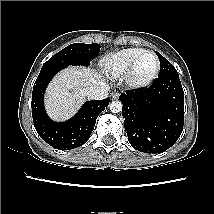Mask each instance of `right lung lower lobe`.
<instances>
[{"mask_svg":"<svg viewBox=\"0 0 214 214\" xmlns=\"http://www.w3.org/2000/svg\"><path fill=\"white\" fill-rule=\"evenodd\" d=\"M63 68H47L40 71L33 87L32 117L40 137L52 147L70 150L84 144L90 137L98 115L108 106L110 98L87 101L78 113L68 121H52L44 109V93L51 79Z\"/></svg>","mask_w":214,"mask_h":214,"instance_id":"1","label":"right lung lower lobe"}]
</instances>
